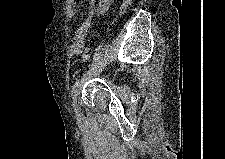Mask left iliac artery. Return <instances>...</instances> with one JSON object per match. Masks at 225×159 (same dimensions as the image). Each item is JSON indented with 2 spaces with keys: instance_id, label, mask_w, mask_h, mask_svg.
Masks as SVG:
<instances>
[{
  "instance_id": "left-iliac-artery-1",
  "label": "left iliac artery",
  "mask_w": 225,
  "mask_h": 159,
  "mask_svg": "<svg viewBox=\"0 0 225 159\" xmlns=\"http://www.w3.org/2000/svg\"><path fill=\"white\" fill-rule=\"evenodd\" d=\"M80 81H81V79H78L75 82V84L73 85L72 90H71V98H72V102H73V107H74V110L76 112L78 111V106H77V103H76V97H77L78 86L80 84Z\"/></svg>"
}]
</instances>
